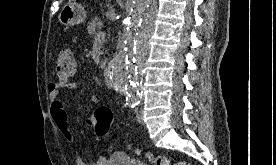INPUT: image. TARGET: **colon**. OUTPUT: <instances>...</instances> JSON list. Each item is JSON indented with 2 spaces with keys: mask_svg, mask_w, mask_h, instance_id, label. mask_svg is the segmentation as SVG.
<instances>
[{
  "mask_svg": "<svg viewBox=\"0 0 276 165\" xmlns=\"http://www.w3.org/2000/svg\"><path fill=\"white\" fill-rule=\"evenodd\" d=\"M56 74L60 79H70L76 73V63L72 51L69 49L62 50L56 58ZM113 120L112 111L107 107L98 108L89 120V125L95 135L105 137L110 130ZM145 158L152 165H170L169 160L164 156H155L145 154ZM173 165H190L187 162L181 161Z\"/></svg>",
  "mask_w": 276,
  "mask_h": 165,
  "instance_id": "colon-1",
  "label": "colon"
}]
</instances>
